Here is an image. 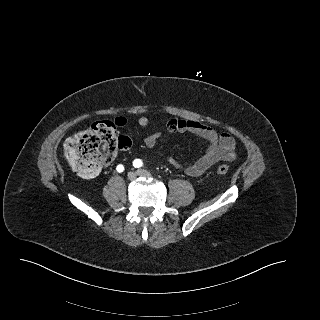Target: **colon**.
I'll list each match as a JSON object with an SVG mask.
<instances>
[{
    "label": "colon",
    "instance_id": "obj_1",
    "mask_svg": "<svg viewBox=\"0 0 320 320\" xmlns=\"http://www.w3.org/2000/svg\"><path fill=\"white\" fill-rule=\"evenodd\" d=\"M127 136H118L111 121H98L87 130L70 136L64 144V155L74 170L83 177H94L102 166L108 165L117 149L130 147ZM229 167L220 164L217 172L226 175Z\"/></svg>",
    "mask_w": 320,
    "mask_h": 320
}]
</instances>
